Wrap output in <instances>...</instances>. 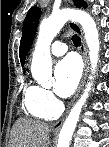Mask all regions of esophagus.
Listing matches in <instances>:
<instances>
[{
    "instance_id": "esophagus-1",
    "label": "esophagus",
    "mask_w": 109,
    "mask_h": 147,
    "mask_svg": "<svg viewBox=\"0 0 109 147\" xmlns=\"http://www.w3.org/2000/svg\"><path fill=\"white\" fill-rule=\"evenodd\" d=\"M70 28L75 32L77 33L80 38H81V46H80V52L82 54V57L84 59V63H85V66H84V72H83V75H82V79L80 81V84L78 86V89L76 91V94L75 96L73 97V99L71 100V102L69 103L65 113L63 114V116L57 120L56 122H54L51 126L52 129H55V130H58L61 128L71 106L73 105L74 101L76 100V98L79 96L80 92H81V89L84 85V82H85V79H86V76H87V72H88V68H89V63H88V58H87V50H86V42H85V37H84V34H83V31H82V28L80 27L79 24L77 23H70Z\"/></svg>"
}]
</instances>
